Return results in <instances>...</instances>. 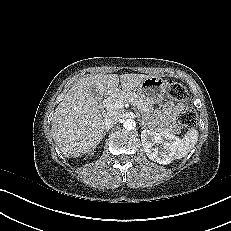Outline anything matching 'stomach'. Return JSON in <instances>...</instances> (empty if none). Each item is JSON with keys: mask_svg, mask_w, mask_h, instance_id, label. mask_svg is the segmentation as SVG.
Instances as JSON below:
<instances>
[{"mask_svg": "<svg viewBox=\"0 0 231 231\" xmlns=\"http://www.w3.org/2000/svg\"><path fill=\"white\" fill-rule=\"evenodd\" d=\"M167 87V80L158 76H150L135 91L139 97L149 103H159L164 99Z\"/></svg>", "mask_w": 231, "mask_h": 231, "instance_id": "0dacf381", "label": "stomach"}]
</instances>
